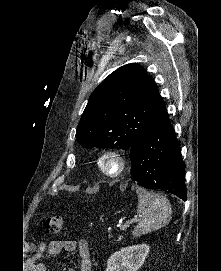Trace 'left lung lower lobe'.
I'll use <instances>...</instances> for the list:
<instances>
[{
    "instance_id": "obj_1",
    "label": "left lung lower lobe",
    "mask_w": 221,
    "mask_h": 271,
    "mask_svg": "<svg viewBox=\"0 0 221 271\" xmlns=\"http://www.w3.org/2000/svg\"><path fill=\"white\" fill-rule=\"evenodd\" d=\"M131 179L186 200L185 163L168 116L146 131L130 148Z\"/></svg>"
}]
</instances>
